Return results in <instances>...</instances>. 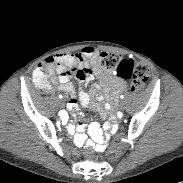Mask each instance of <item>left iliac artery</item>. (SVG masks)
I'll return each instance as SVG.
<instances>
[{"mask_svg": "<svg viewBox=\"0 0 183 183\" xmlns=\"http://www.w3.org/2000/svg\"><path fill=\"white\" fill-rule=\"evenodd\" d=\"M120 98H121V99H124V95H121Z\"/></svg>", "mask_w": 183, "mask_h": 183, "instance_id": "obj_1", "label": "left iliac artery"}]
</instances>
